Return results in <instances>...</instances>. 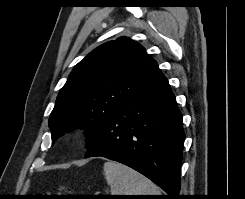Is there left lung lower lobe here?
I'll list each match as a JSON object with an SVG mask.
<instances>
[{"label":"left lung lower lobe","mask_w":245,"mask_h":199,"mask_svg":"<svg viewBox=\"0 0 245 199\" xmlns=\"http://www.w3.org/2000/svg\"><path fill=\"white\" fill-rule=\"evenodd\" d=\"M185 134L167 79L155 77L104 123L85 158L102 156L140 172L177 199Z\"/></svg>","instance_id":"1"}]
</instances>
